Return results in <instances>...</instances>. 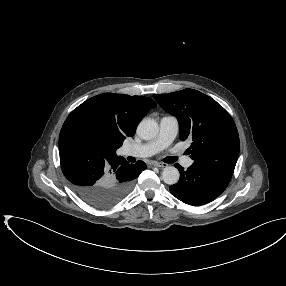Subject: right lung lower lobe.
<instances>
[{"label": "right lung lower lobe", "mask_w": 286, "mask_h": 286, "mask_svg": "<svg viewBox=\"0 0 286 286\" xmlns=\"http://www.w3.org/2000/svg\"><path fill=\"white\" fill-rule=\"evenodd\" d=\"M59 153L62 172L75 193L99 208L121 201L131 190L133 180L146 169L143 161L129 164L123 157H109L75 125H63Z\"/></svg>", "instance_id": "right-lung-lower-lobe-1"}]
</instances>
